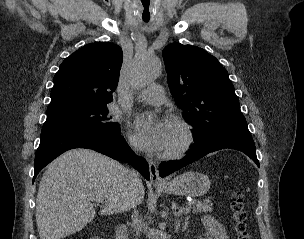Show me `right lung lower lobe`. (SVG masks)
<instances>
[{
    "label": "right lung lower lobe",
    "mask_w": 304,
    "mask_h": 239,
    "mask_svg": "<svg viewBox=\"0 0 304 239\" xmlns=\"http://www.w3.org/2000/svg\"><path fill=\"white\" fill-rule=\"evenodd\" d=\"M73 148H88L113 159L131 163L147 180L149 167L146 160L137 156L120 135L112 136L90 131H58L41 134L34 162V177L63 152Z\"/></svg>",
    "instance_id": "98d812e1"
}]
</instances>
